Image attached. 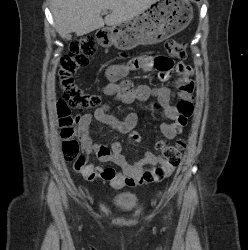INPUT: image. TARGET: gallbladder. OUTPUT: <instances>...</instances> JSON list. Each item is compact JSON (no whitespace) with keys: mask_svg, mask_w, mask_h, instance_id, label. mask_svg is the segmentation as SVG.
Returning <instances> with one entry per match:
<instances>
[{"mask_svg":"<svg viewBox=\"0 0 248 250\" xmlns=\"http://www.w3.org/2000/svg\"><path fill=\"white\" fill-rule=\"evenodd\" d=\"M66 39H71V34H67Z\"/></svg>","mask_w":248,"mask_h":250,"instance_id":"1","label":"gallbladder"}]
</instances>
